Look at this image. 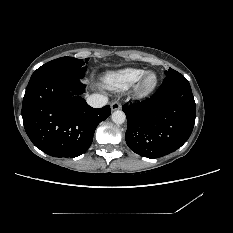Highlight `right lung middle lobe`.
I'll return each mask as SVG.
<instances>
[{"instance_id": "obj_1", "label": "right lung middle lobe", "mask_w": 233, "mask_h": 233, "mask_svg": "<svg viewBox=\"0 0 233 233\" xmlns=\"http://www.w3.org/2000/svg\"><path fill=\"white\" fill-rule=\"evenodd\" d=\"M89 58L85 59V62L82 59H76L73 57H61L55 60H52L41 67H39L31 76L32 78L53 73H64L69 76L82 79L85 75L87 67H83V64L87 63Z\"/></svg>"}]
</instances>
